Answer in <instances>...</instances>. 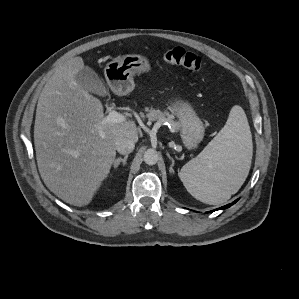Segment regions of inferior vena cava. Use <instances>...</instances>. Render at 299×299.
<instances>
[{"label":"inferior vena cava","mask_w":299,"mask_h":299,"mask_svg":"<svg viewBox=\"0 0 299 299\" xmlns=\"http://www.w3.org/2000/svg\"><path fill=\"white\" fill-rule=\"evenodd\" d=\"M135 143L128 139H123L118 142L116 150L123 155H128L134 150Z\"/></svg>","instance_id":"602c4592"}]
</instances>
